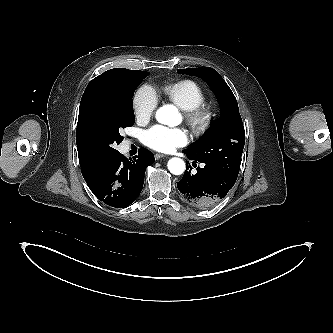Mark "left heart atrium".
Wrapping results in <instances>:
<instances>
[{"label":"left heart atrium","mask_w":333,"mask_h":333,"mask_svg":"<svg viewBox=\"0 0 333 333\" xmlns=\"http://www.w3.org/2000/svg\"><path fill=\"white\" fill-rule=\"evenodd\" d=\"M144 143L160 152H171L188 142L187 134L180 128H168L156 125L144 132Z\"/></svg>","instance_id":"1"}]
</instances>
